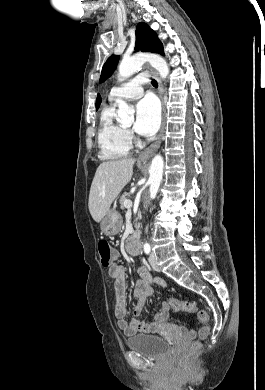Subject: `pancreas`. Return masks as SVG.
Returning <instances> with one entry per match:
<instances>
[{
  "label": "pancreas",
  "mask_w": 265,
  "mask_h": 390,
  "mask_svg": "<svg viewBox=\"0 0 265 390\" xmlns=\"http://www.w3.org/2000/svg\"><path fill=\"white\" fill-rule=\"evenodd\" d=\"M127 198H126V195H122L121 196V198H120V200H119V202H120V204H121V209H124L125 208V206H124V201L126 200Z\"/></svg>",
  "instance_id": "1"
}]
</instances>
